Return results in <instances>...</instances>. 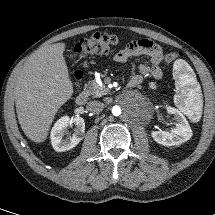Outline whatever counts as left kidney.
Returning a JSON list of instances; mask_svg holds the SVG:
<instances>
[{
    "label": "left kidney",
    "instance_id": "1",
    "mask_svg": "<svg viewBox=\"0 0 215 215\" xmlns=\"http://www.w3.org/2000/svg\"><path fill=\"white\" fill-rule=\"evenodd\" d=\"M186 67H188L186 65ZM167 112L174 115L175 128L171 132L167 131H152V138L159 144L164 146H178L188 141L192 137V130L185 116L171 106H167Z\"/></svg>",
    "mask_w": 215,
    "mask_h": 215
}]
</instances>
